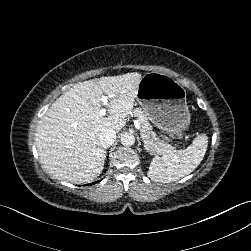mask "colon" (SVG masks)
<instances>
[{"mask_svg":"<svg viewBox=\"0 0 251 251\" xmlns=\"http://www.w3.org/2000/svg\"><path fill=\"white\" fill-rule=\"evenodd\" d=\"M185 133L181 129H164L161 132V136L165 140L182 139Z\"/></svg>","mask_w":251,"mask_h":251,"instance_id":"colon-1","label":"colon"}]
</instances>
